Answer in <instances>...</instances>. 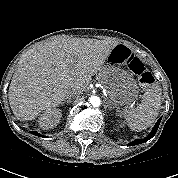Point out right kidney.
<instances>
[{
    "label": "right kidney",
    "instance_id": "obj_1",
    "mask_svg": "<svg viewBox=\"0 0 178 178\" xmlns=\"http://www.w3.org/2000/svg\"><path fill=\"white\" fill-rule=\"evenodd\" d=\"M61 118V112L58 109L52 108L45 110L39 117V125L42 129H50L55 127Z\"/></svg>",
    "mask_w": 178,
    "mask_h": 178
}]
</instances>
